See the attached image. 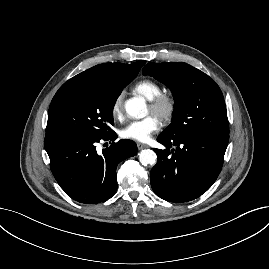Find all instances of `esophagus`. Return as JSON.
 <instances>
[{
  "label": "esophagus",
  "instance_id": "esophagus-1",
  "mask_svg": "<svg viewBox=\"0 0 269 269\" xmlns=\"http://www.w3.org/2000/svg\"><path fill=\"white\" fill-rule=\"evenodd\" d=\"M137 147H138L139 150H141V149H146V148H148L149 146L146 145V144H143V143H137Z\"/></svg>",
  "mask_w": 269,
  "mask_h": 269
}]
</instances>
